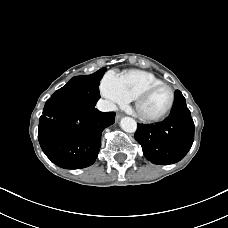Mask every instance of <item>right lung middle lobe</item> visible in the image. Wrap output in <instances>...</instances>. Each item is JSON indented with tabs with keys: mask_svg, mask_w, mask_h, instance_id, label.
<instances>
[{
	"mask_svg": "<svg viewBox=\"0 0 228 228\" xmlns=\"http://www.w3.org/2000/svg\"><path fill=\"white\" fill-rule=\"evenodd\" d=\"M105 71L106 68H102L91 75L73 77L50 99L64 100L84 108L94 107L100 98L99 84Z\"/></svg>",
	"mask_w": 228,
	"mask_h": 228,
	"instance_id": "obj_1",
	"label": "right lung middle lobe"
}]
</instances>
